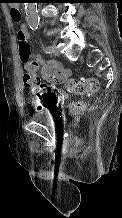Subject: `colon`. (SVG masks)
Listing matches in <instances>:
<instances>
[{
    "instance_id": "colon-1",
    "label": "colon",
    "mask_w": 122,
    "mask_h": 218,
    "mask_svg": "<svg viewBox=\"0 0 122 218\" xmlns=\"http://www.w3.org/2000/svg\"><path fill=\"white\" fill-rule=\"evenodd\" d=\"M11 17L17 24L21 22V11L18 7L11 8ZM18 49L20 60L24 70L23 83L27 88H30L37 96H45L50 94L47 84L40 81L37 75L38 65L30 59L31 45L28 32L22 29V26L17 32ZM99 87V83L95 78L71 79L66 81V89L75 94L92 95ZM84 108L82 103H72L70 112L74 115L79 114Z\"/></svg>"
}]
</instances>
